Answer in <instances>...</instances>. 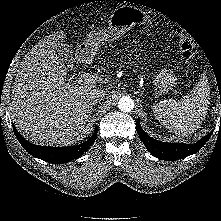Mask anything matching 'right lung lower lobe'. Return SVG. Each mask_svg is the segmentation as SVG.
Instances as JSON below:
<instances>
[{"label": "right lung lower lobe", "instance_id": "obj_1", "mask_svg": "<svg viewBox=\"0 0 221 221\" xmlns=\"http://www.w3.org/2000/svg\"><path fill=\"white\" fill-rule=\"evenodd\" d=\"M14 133L22 145V147L32 156L42 159L53 164H62L78 158L82 155L94 142L97 137V126L95 127L93 135L87 141L71 147H50L37 146L25 140L17 131L14 125Z\"/></svg>", "mask_w": 221, "mask_h": 221}]
</instances>
